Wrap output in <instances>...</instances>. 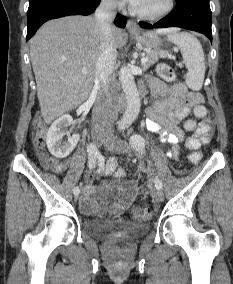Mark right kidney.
Instances as JSON below:
<instances>
[{
  "label": "right kidney",
  "mask_w": 233,
  "mask_h": 284,
  "mask_svg": "<svg viewBox=\"0 0 233 284\" xmlns=\"http://www.w3.org/2000/svg\"><path fill=\"white\" fill-rule=\"evenodd\" d=\"M73 124V119L69 114L62 115L54 121L48 130L47 147L50 153L57 158L67 157L76 147L79 135L68 136L67 140L63 137L67 134V127Z\"/></svg>",
  "instance_id": "ca27d5eb"
}]
</instances>
